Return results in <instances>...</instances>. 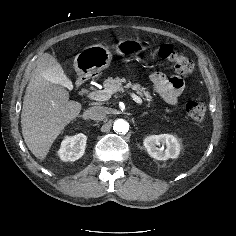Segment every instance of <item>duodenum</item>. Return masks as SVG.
Masks as SVG:
<instances>
[{"label": "duodenum", "mask_w": 236, "mask_h": 236, "mask_svg": "<svg viewBox=\"0 0 236 236\" xmlns=\"http://www.w3.org/2000/svg\"><path fill=\"white\" fill-rule=\"evenodd\" d=\"M85 85V78H79L76 82L77 90H81Z\"/></svg>", "instance_id": "duodenum-1"}]
</instances>
